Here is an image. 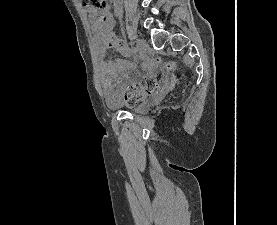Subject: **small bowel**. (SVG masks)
<instances>
[{"mask_svg":"<svg viewBox=\"0 0 277 225\" xmlns=\"http://www.w3.org/2000/svg\"><path fill=\"white\" fill-rule=\"evenodd\" d=\"M89 17L94 35V46L99 57V78L104 91L108 93L109 88L113 85L122 87L128 82L134 81L138 77V73L134 72V65L128 60L116 58L106 61L104 59L106 46H112L123 57L130 55L129 48L114 34L115 19L107 7L105 12L99 15L91 9ZM161 79L164 87H167L172 82V77L167 74H163Z\"/></svg>","mask_w":277,"mask_h":225,"instance_id":"obj_1","label":"small bowel"}]
</instances>
